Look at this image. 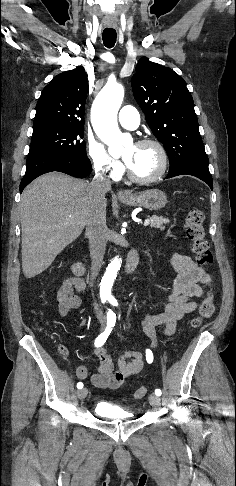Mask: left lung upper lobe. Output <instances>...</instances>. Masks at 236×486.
Segmentation results:
<instances>
[{"label":"left lung upper lobe","instance_id":"5c2ea615","mask_svg":"<svg viewBox=\"0 0 236 486\" xmlns=\"http://www.w3.org/2000/svg\"><path fill=\"white\" fill-rule=\"evenodd\" d=\"M132 77L134 97L156 138L163 143L170 170L208 169L194 102L186 82L172 69L142 57Z\"/></svg>","mask_w":236,"mask_h":486}]
</instances>
